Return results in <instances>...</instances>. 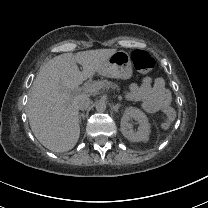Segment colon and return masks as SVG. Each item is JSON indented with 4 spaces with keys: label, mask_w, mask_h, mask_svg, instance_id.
I'll return each mask as SVG.
<instances>
[{
    "label": "colon",
    "mask_w": 208,
    "mask_h": 208,
    "mask_svg": "<svg viewBox=\"0 0 208 208\" xmlns=\"http://www.w3.org/2000/svg\"><path fill=\"white\" fill-rule=\"evenodd\" d=\"M131 60L134 68L139 72L150 73L152 72L155 61L152 55L141 49H135L131 54ZM176 118V111L172 107L164 108V118L160 122L162 129H169Z\"/></svg>",
    "instance_id": "obj_1"
}]
</instances>
